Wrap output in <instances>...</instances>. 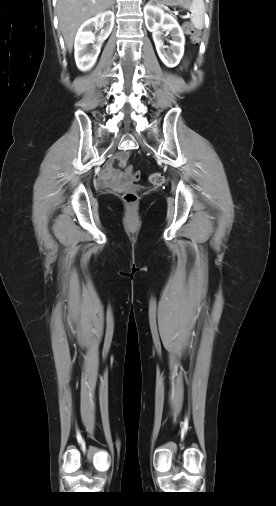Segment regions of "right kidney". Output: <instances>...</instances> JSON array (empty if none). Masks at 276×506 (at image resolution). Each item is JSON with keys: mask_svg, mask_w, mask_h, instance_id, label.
<instances>
[{"mask_svg": "<svg viewBox=\"0 0 276 506\" xmlns=\"http://www.w3.org/2000/svg\"><path fill=\"white\" fill-rule=\"evenodd\" d=\"M114 25V13L105 11L85 21L79 28L74 43V56L77 67L82 71L91 69L96 63L102 43L110 35ZM101 29L100 35L95 38L94 29ZM93 43L92 48L88 45Z\"/></svg>", "mask_w": 276, "mask_h": 506, "instance_id": "obj_1", "label": "right kidney"}]
</instances>
